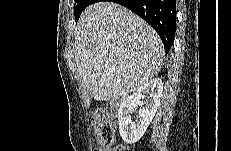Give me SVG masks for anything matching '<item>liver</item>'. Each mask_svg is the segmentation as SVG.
Listing matches in <instances>:
<instances>
[{"label": "liver", "mask_w": 231, "mask_h": 151, "mask_svg": "<svg viewBox=\"0 0 231 151\" xmlns=\"http://www.w3.org/2000/svg\"><path fill=\"white\" fill-rule=\"evenodd\" d=\"M82 86L97 101L125 97L157 74L164 51L155 30L115 2H96L81 14L74 50Z\"/></svg>", "instance_id": "6515ba94"}]
</instances>
